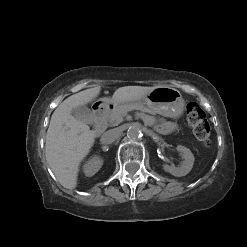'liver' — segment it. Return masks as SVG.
I'll use <instances>...</instances> for the list:
<instances>
[{"label":"liver","instance_id":"obj_1","mask_svg":"<svg viewBox=\"0 0 247 247\" xmlns=\"http://www.w3.org/2000/svg\"><path fill=\"white\" fill-rule=\"evenodd\" d=\"M125 86L118 88L112 99L116 102H130L148 95L155 88ZM101 87L83 90L65 99L52 114L46 134V160L60 184L66 189L77 186L79 166L94 145L96 134L89 126L73 117L72 110L92 102Z\"/></svg>","mask_w":247,"mask_h":247}]
</instances>
